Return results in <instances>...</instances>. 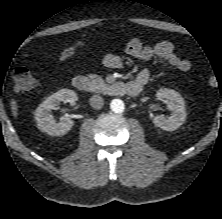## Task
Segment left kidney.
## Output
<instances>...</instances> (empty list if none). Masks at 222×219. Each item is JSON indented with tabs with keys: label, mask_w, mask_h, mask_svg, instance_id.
<instances>
[{
	"label": "left kidney",
	"mask_w": 222,
	"mask_h": 219,
	"mask_svg": "<svg viewBox=\"0 0 222 219\" xmlns=\"http://www.w3.org/2000/svg\"><path fill=\"white\" fill-rule=\"evenodd\" d=\"M159 100H166L167 108L171 111L168 118L155 116L154 124L166 131H174L179 128L186 119L185 101L183 97L175 90L162 88L156 92Z\"/></svg>",
	"instance_id": "5707ae66"
}]
</instances>
